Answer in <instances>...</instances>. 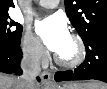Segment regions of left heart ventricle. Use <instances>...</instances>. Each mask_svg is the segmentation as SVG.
<instances>
[{"label":"left heart ventricle","mask_w":107,"mask_h":89,"mask_svg":"<svg viewBox=\"0 0 107 89\" xmlns=\"http://www.w3.org/2000/svg\"><path fill=\"white\" fill-rule=\"evenodd\" d=\"M76 48L73 41L70 39L65 48L58 53V55L64 59H72L75 56Z\"/></svg>","instance_id":"b2bd125f"}]
</instances>
